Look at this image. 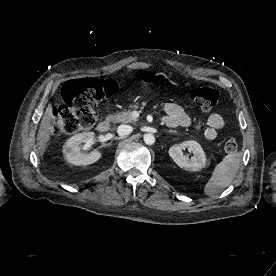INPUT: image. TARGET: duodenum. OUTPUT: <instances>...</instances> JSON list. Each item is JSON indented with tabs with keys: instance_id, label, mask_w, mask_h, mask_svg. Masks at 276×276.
<instances>
[{
	"instance_id": "obj_1",
	"label": "duodenum",
	"mask_w": 276,
	"mask_h": 276,
	"mask_svg": "<svg viewBox=\"0 0 276 276\" xmlns=\"http://www.w3.org/2000/svg\"><path fill=\"white\" fill-rule=\"evenodd\" d=\"M110 129V123L106 120H103L98 123L97 125V131L100 133H106Z\"/></svg>"
}]
</instances>
